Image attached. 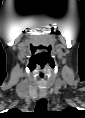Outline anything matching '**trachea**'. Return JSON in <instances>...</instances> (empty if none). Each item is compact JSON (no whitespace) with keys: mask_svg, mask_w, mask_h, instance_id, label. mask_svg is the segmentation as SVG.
<instances>
[{"mask_svg":"<svg viewBox=\"0 0 85 118\" xmlns=\"http://www.w3.org/2000/svg\"><path fill=\"white\" fill-rule=\"evenodd\" d=\"M46 107H47L46 99L42 98V99L38 100L37 105H36V110L45 111Z\"/></svg>","mask_w":85,"mask_h":118,"instance_id":"1","label":"trachea"}]
</instances>
